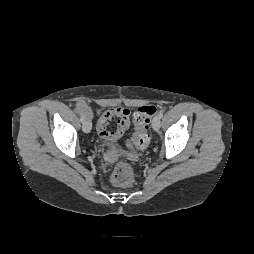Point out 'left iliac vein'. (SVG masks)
<instances>
[{
	"mask_svg": "<svg viewBox=\"0 0 254 254\" xmlns=\"http://www.w3.org/2000/svg\"><path fill=\"white\" fill-rule=\"evenodd\" d=\"M160 125H161V118L157 115L153 118V121H152L153 130L158 131L160 129Z\"/></svg>",
	"mask_w": 254,
	"mask_h": 254,
	"instance_id": "obj_1",
	"label": "left iliac vein"
}]
</instances>
